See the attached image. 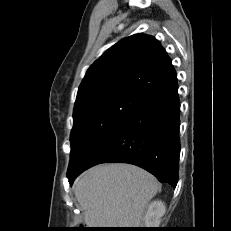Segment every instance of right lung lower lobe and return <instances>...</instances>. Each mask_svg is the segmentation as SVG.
Here are the masks:
<instances>
[{
  "instance_id": "obj_1",
  "label": "right lung lower lobe",
  "mask_w": 231,
  "mask_h": 231,
  "mask_svg": "<svg viewBox=\"0 0 231 231\" xmlns=\"http://www.w3.org/2000/svg\"><path fill=\"white\" fill-rule=\"evenodd\" d=\"M180 101L178 88L143 100L140 108L100 142L81 162L68 169L70 183L100 163H129L173 187L178 181Z\"/></svg>"
}]
</instances>
